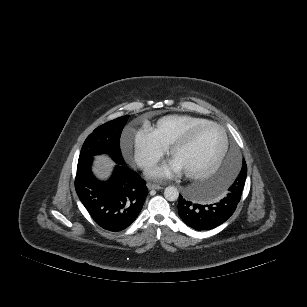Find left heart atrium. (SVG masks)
Here are the masks:
<instances>
[{
    "mask_svg": "<svg viewBox=\"0 0 307 307\" xmlns=\"http://www.w3.org/2000/svg\"><path fill=\"white\" fill-rule=\"evenodd\" d=\"M181 171L180 166L175 161H172L153 167L148 171V174L155 178H168L179 174Z\"/></svg>",
    "mask_w": 307,
    "mask_h": 307,
    "instance_id": "left-heart-atrium-1",
    "label": "left heart atrium"
}]
</instances>
